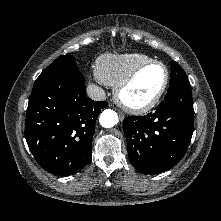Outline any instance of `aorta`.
Returning a JSON list of instances; mask_svg holds the SVG:
<instances>
[{
	"mask_svg": "<svg viewBox=\"0 0 221 221\" xmlns=\"http://www.w3.org/2000/svg\"><path fill=\"white\" fill-rule=\"evenodd\" d=\"M118 115L115 111L111 109L104 110L99 118V123L104 128H111L118 123Z\"/></svg>",
	"mask_w": 221,
	"mask_h": 221,
	"instance_id": "762f6f07",
	"label": "aorta"
}]
</instances>
